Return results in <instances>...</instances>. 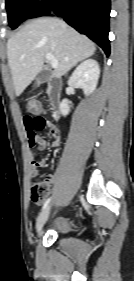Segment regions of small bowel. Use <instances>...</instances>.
<instances>
[{
	"label": "small bowel",
	"mask_w": 134,
	"mask_h": 281,
	"mask_svg": "<svg viewBox=\"0 0 134 281\" xmlns=\"http://www.w3.org/2000/svg\"><path fill=\"white\" fill-rule=\"evenodd\" d=\"M23 123L27 131L29 139V147L31 153V176L36 177L39 173V169L45 165L44 160H38L36 158V149L37 146L40 151L45 150L48 147L47 142L38 134L39 131H42L45 128H48L51 137H52V147H57L61 141V134L58 127L47 121L43 116L34 114V115H25L23 118ZM56 179L54 174H48L44 183L48 186L52 185Z\"/></svg>",
	"instance_id": "1"
}]
</instances>
